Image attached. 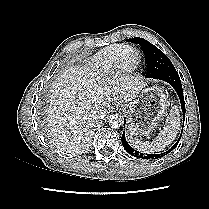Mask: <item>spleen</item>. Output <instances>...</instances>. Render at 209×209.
<instances>
[{"label":"spleen","instance_id":"obj_1","mask_svg":"<svg viewBox=\"0 0 209 209\" xmlns=\"http://www.w3.org/2000/svg\"><path fill=\"white\" fill-rule=\"evenodd\" d=\"M180 126V114L178 107H173L166 118V124L158 136L151 142H142L137 138L129 136L130 144L138 151L144 153H154L162 151L175 139Z\"/></svg>","mask_w":209,"mask_h":209}]
</instances>
